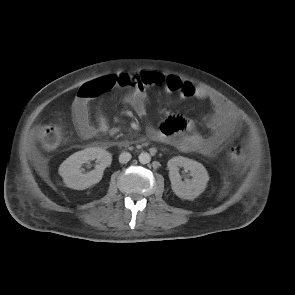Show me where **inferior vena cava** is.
I'll list each match as a JSON object with an SVG mask.
<instances>
[{
	"label": "inferior vena cava",
	"mask_w": 295,
	"mask_h": 295,
	"mask_svg": "<svg viewBox=\"0 0 295 295\" xmlns=\"http://www.w3.org/2000/svg\"><path fill=\"white\" fill-rule=\"evenodd\" d=\"M131 159V154L129 152H123L119 156L120 163H127Z\"/></svg>",
	"instance_id": "602c4592"
}]
</instances>
